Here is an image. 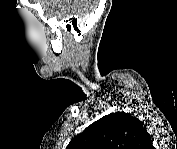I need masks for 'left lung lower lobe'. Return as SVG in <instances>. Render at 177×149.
Returning <instances> with one entry per match:
<instances>
[{"label":"left lung lower lobe","instance_id":"1","mask_svg":"<svg viewBox=\"0 0 177 149\" xmlns=\"http://www.w3.org/2000/svg\"><path fill=\"white\" fill-rule=\"evenodd\" d=\"M145 144H146V149H151L152 148V142H151V138H150L149 135H147Z\"/></svg>","mask_w":177,"mask_h":149}]
</instances>
